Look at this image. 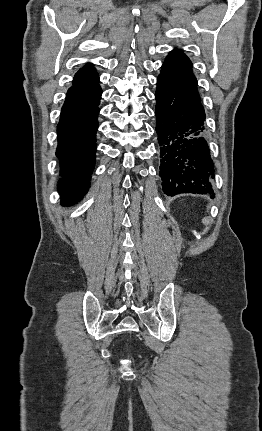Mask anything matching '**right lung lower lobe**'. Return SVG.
I'll return each mask as SVG.
<instances>
[{
    "label": "right lung lower lobe",
    "instance_id": "right-lung-lower-lobe-1",
    "mask_svg": "<svg viewBox=\"0 0 262 431\" xmlns=\"http://www.w3.org/2000/svg\"><path fill=\"white\" fill-rule=\"evenodd\" d=\"M98 85L69 88L57 127L60 160L59 192L63 205L79 201L88 191L95 164L98 105L101 99Z\"/></svg>",
    "mask_w": 262,
    "mask_h": 431
}]
</instances>
